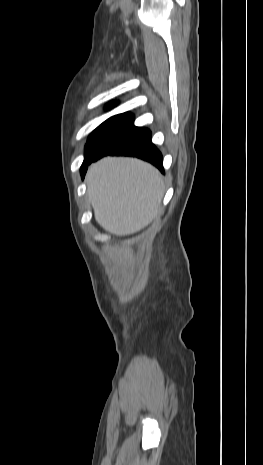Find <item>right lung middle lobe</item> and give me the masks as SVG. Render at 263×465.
<instances>
[{
  "label": "right lung middle lobe",
  "instance_id": "obj_1",
  "mask_svg": "<svg viewBox=\"0 0 263 465\" xmlns=\"http://www.w3.org/2000/svg\"><path fill=\"white\" fill-rule=\"evenodd\" d=\"M114 104L115 103H111L109 107H112ZM127 115L128 113L115 115L103 122L93 131V133L89 136L85 147V160L83 164L97 153L104 140L127 117Z\"/></svg>",
  "mask_w": 263,
  "mask_h": 465
}]
</instances>
